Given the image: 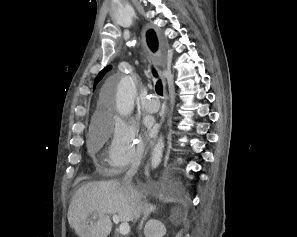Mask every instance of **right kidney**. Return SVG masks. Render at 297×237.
<instances>
[{
  "label": "right kidney",
  "mask_w": 297,
  "mask_h": 237,
  "mask_svg": "<svg viewBox=\"0 0 297 237\" xmlns=\"http://www.w3.org/2000/svg\"><path fill=\"white\" fill-rule=\"evenodd\" d=\"M145 237H163L166 234L165 225L156 219L147 222L144 228Z\"/></svg>",
  "instance_id": "right-kidney-1"
}]
</instances>
